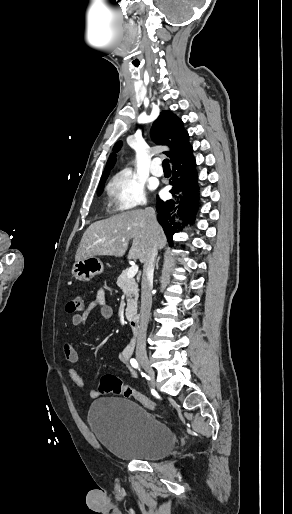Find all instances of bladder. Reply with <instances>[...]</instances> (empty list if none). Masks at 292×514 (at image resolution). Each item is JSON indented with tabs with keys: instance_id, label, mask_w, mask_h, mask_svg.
Listing matches in <instances>:
<instances>
[{
	"instance_id": "1",
	"label": "bladder",
	"mask_w": 292,
	"mask_h": 514,
	"mask_svg": "<svg viewBox=\"0 0 292 514\" xmlns=\"http://www.w3.org/2000/svg\"><path fill=\"white\" fill-rule=\"evenodd\" d=\"M87 419L100 444L120 460L160 459L176 444L169 424L128 399H98L91 404Z\"/></svg>"
}]
</instances>
